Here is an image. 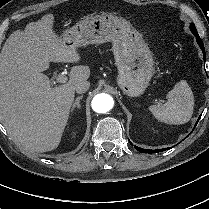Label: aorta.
Returning a JSON list of instances; mask_svg holds the SVG:
<instances>
[{
	"label": "aorta",
	"instance_id": "762f6f07",
	"mask_svg": "<svg viewBox=\"0 0 209 209\" xmlns=\"http://www.w3.org/2000/svg\"><path fill=\"white\" fill-rule=\"evenodd\" d=\"M113 105L114 100L112 96L106 93H100L95 95L91 102L92 109L96 113L101 114L109 112L113 108Z\"/></svg>",
	"mask_w": 209,
	"mask_h": 209
}]
</instances>
